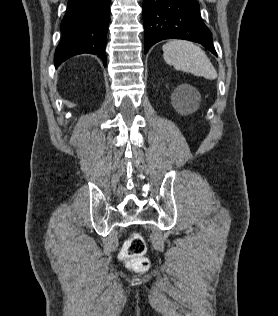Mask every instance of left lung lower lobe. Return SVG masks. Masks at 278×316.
<instances>
[{"label":"left lung lower lobe","mask_w":278,"mask_h":316,"mask_svg":"<svg viewBox=\"0 0 278 316\" xmlns=\"http://www.w3.org/2000/svg\"><path fill=\"white\" fill-rule=\"evenodd\" d=\"M143 23L145 53L161 40L184 39L202 44L217 56L196 0H143Z\"/></svg>","instance_id":"1"}]
</instances>
